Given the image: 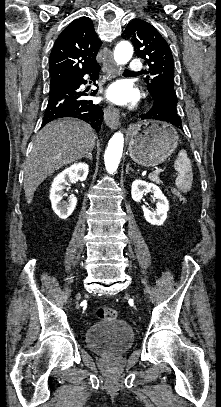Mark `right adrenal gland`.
Masks as SVG:
<instances>
[{"label":"right adrenal gland","mask_w":221,"mask_h":407,"mask_svg":"<svg viewBox=\"0 0 221 407\" xmlns=\"http://www.w3.org/2000/svg\"><path fill=\"white\" fill-rule=\"evenodd\" d=\"M85 158H88L89 160L92 161V153H89L88 155H86Z\"/></svg>","instance_id":"obj_1"}]
</instances>
